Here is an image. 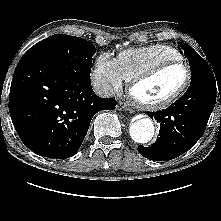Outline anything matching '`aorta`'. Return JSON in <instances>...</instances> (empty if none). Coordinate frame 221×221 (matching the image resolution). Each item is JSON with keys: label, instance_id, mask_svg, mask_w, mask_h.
Segmentation results:
<instances>
[{"label": "aorta", "instance_id": "762f6f07", "mask_svg": "<svg viewBox=\"0 0 221 221\" xmlns=\"http://www.w3.org/2000/svg\"><path fill=\"white\" fill-rule=\"evenodd\" d=\"M154 124L150 118L138 119L130 125L129 133L137 143H147L154 136Z\"/></svg>", "mask_w": 221, "mask_h": 221}]
</instances>
